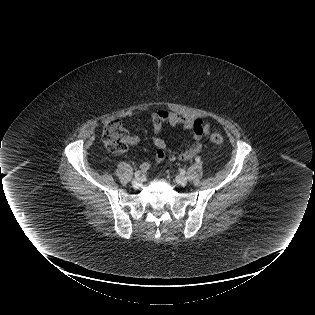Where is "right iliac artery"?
<instances>
[{
    "mask_svg": "<svg viewBox=\"0 0 315 315\" xmlns=\"http://www.w3.org/2000/svg\"><path fill=\"white\" fill-rule=\"evenodd\" d=\"M134 175H135V177H139L141 175V172L139 170H137Z\"/></svg>",
    "mask_w": 315,
    "mask_h": 315,
    "instance_id": "1",
    "label": "right iliac artery"
}]
</instances>
